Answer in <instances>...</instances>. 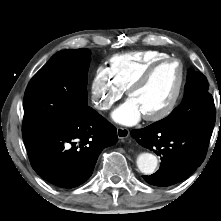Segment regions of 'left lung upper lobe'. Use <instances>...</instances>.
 I'll return each instance as SVG.
<instances>
[{"mask_svg": "<svg viewBox=\"0 0 221 221\" xmlns=\"http://www.w3.org/2000/svg\"><path fill=\"white\" fill-rule=\"evenodd\" d=\"M215 118L214 100L208 92L207 79L191 69L181 104L166 118L156 122V125L162 129L198 127L213 130Z\"/></svg>", "mask_w": 221, "mask_h": 221, "instance_id": "5c2ea615", "label": "left lung upper lobe"}]
</instances>
